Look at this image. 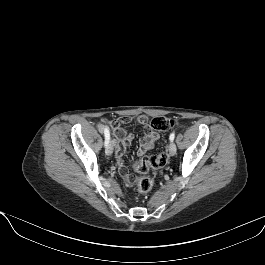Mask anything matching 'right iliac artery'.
Segmentation results:
<instances>
[{
  "label": "right iliac artery",
  "mask_w": 265,
  "mask_h": 265,
  "mask_svg": "<svg viewBox=\"0 0 265 265\" xmlns=\"http://www.w3.org/2000/svg\"><path fill=\"white\" fill-rule=\"evenodd\" d=\"M104 136H105V146H107L110 140V132L107 127L104 128Z\"/></svg>",
  "instance_id": "obj_1"
}]
</instances>
